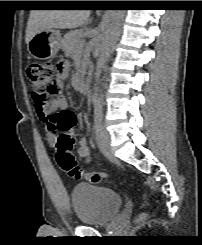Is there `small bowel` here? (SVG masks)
Here are the masks:
<instances>
[{
  "label": "small bowel",
  "mask_w": 202,
  "mask_h": 245,
  "mask_svg": "<svg viewBox=\"0 0 202 245\" xmlns=\"http://www.w3.org/2000/svg\"><path fill=\"white\" fill-rule=\"evenodd\" d=\"M65 66H67V62L65 60H62ZM67 108V102L64 96H59L56 100H54L48 107V110L50 112H55V111H61V110H66ZM44 121V130L47 133V138L49 141L53 142L54 137L52 134H50L49 129L47 128V125L45 123V118L43 119ZM89 145L87 139H83L80 142V145L78 147V155L81 158H88L89 157Z\"/></svg>",
  "instance_id": "c3829d8e"
}]
</instances>
